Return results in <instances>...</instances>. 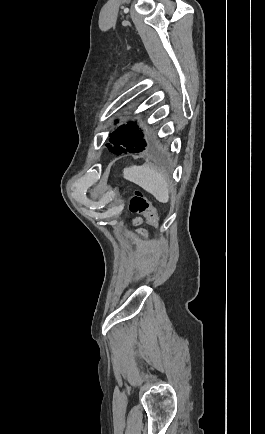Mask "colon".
I'll list each match as a JSON object with an SVG mask.
<instances>
[{
  "label": "colon",
  "instance_id": "colon-1",
  "mask_svg": "<svg viewBox=\"0 0 265 434\" xmlns=\"http://www.w3.org/2000/svg\"><path fill=\"white\" fill-rule=\"evenodd\" d=\"M128 210L132 213H143L146 219L153 226L160 222V216L157 209L153 206L151 200L141 192H135L128 201Z\"/></svg>",
  "mask_w": 265,
  "mask_h": 434
}]
</instances>
